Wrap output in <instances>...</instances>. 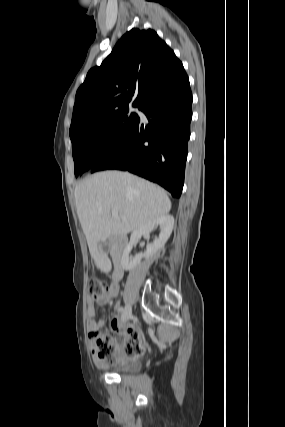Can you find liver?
<instances>
[{
  "label": "liver",
  "mask_w": 285,
  "mask_h": 427,
  "mask_svg": "<svg viewBox=\"0 0 285 427\" xmlns=\"http://www.w3.org/2000/svg\"><path fill=\"white\" fill-rule=\"evenodd\" d=\"M74 196L89 251L97 264L108 261L98 242L125 236L171 209L162 188L128 172L104 171L88 176L76 185ZM113 210L118 216L111 215Z\"/></svg>",
  "instance_id": "liver-1"
}]
</instances>
